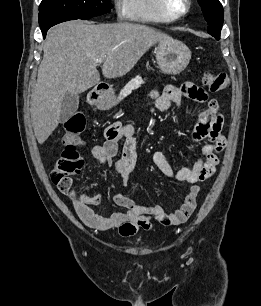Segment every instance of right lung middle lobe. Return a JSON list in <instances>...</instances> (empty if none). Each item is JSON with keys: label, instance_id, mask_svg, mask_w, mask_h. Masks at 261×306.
<instances>
[{"label": "right lung middle lobe", "instance_id": "dd1d6c3e", "mask_svg": "<svg viewBox=\"0 0 261 306\" xmlns=\"http://www.w3.org/2000/svg\"><path fill=\"white\" fill-rule=\"evenodd\" d=\"M112 7L111 0H42L39 12L95 17L109 12Z\"/></svg>", "mask_w": 261, "mask_h": 306}]
</instances>
